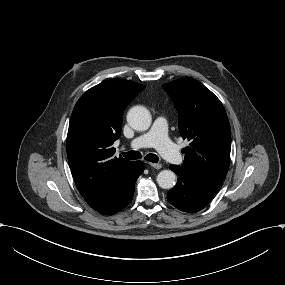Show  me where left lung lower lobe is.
I'll return each instance as SVG.
<instances>
[{"label":"left lung lower lobe","instance_id":"obj_1","mask_svg":"<svg viewBox=\"0 0 285 285\" xmlns=\"http://www.w3.org/2000/svg\"><path fill=\"white\" fill-rule=\"evenodd\" d=\"M169 168L178 176L176 186L168 192V200L176 208L195 213L203 209L215 195L218 188L193 178L177 165H170Z\"/></svg>","mask_w":285,"mask_h":285}]
</instances>
